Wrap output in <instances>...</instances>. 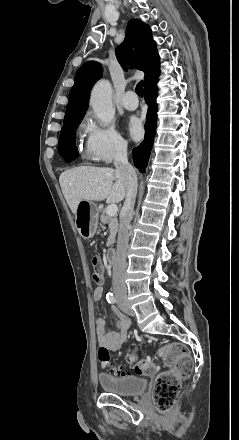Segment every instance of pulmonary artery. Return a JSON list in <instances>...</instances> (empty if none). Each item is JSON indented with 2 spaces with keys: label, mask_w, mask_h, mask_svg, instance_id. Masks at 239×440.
Wrapping results in <instances>:
<instances>
[{
  "label": "pulmonary artery",
  "mask_w": 239,
  "mask_h": 440,
  "mask_svg": "<svg viewBox=\"0 0 239 440\" xmlns=\"http://www.w3.org/2000/svg\"><path fill=\"white\" fill-rule=\"evenodd\" d=\"M134 95V91H127L120 101L121 106H123L127 110H135L138 107V103H133L128 100L129 97Z\"/></svg>",
  "instance_id": "1"
}]
</instances>
